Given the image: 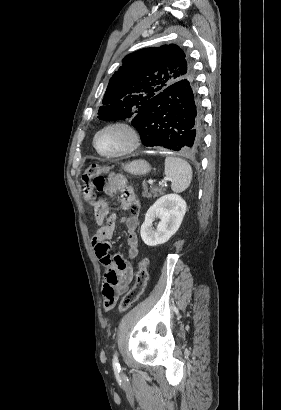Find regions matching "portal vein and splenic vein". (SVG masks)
<instances>
[{
	"label": "portal vein and splenic vein",
	"mask_w": 281,
	"mask_h": 410,
	"mask_svg": "<svg viewBox=\"0 0 281 410\" xmlns=\"http://www.w3.org/2000/svg\"><path fill=\"white\" fill-rule=\"evenodd\" d=\"M148 183H149V184H153V180L150 179V180L148 181Z\"/></svg>",
	"instance_id": "portal-vein-and-splenic-vein-1"
}]
</instances>
